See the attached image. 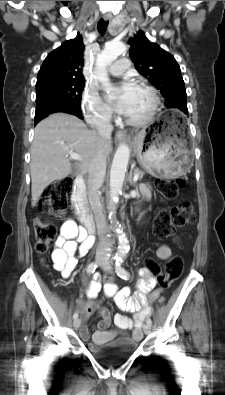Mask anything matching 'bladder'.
Here are the masks:
<instances>
[{"mask_svg":"<svg viewBox=\"0 0 225 395\" xmlns=\"http://www.w3.org/2000/svg\"><path fill=\"white\" fill-rule=\"evenodd\" d=\"M139 343L129 338H118L107 344L91 345L90 351L95 358L103 362H112L133 354Z\"/></svg>","mask_w":225,"mask_h":395,"instance_id":"31cf9c89","label":"bladder"}]
</instances>
